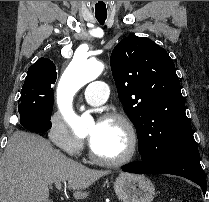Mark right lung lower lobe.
<instances>
[{
    "mask_svg": "<svg viewBox=\"0 0 209 202\" xmlns=\"http://www.w3.org/2000/svg\"><path fill=\"white\" fill-rule=\"evenodd\" d=\"M20 124L33 132L42 133L51 128V122H36L30 119L20 120Z\"/></svg>",
    "mask_w": 209,
    "mask_h": 202,
    "instance_id": "obj_1",
    "label": "right lung lower lobe"
}]
</instances>
